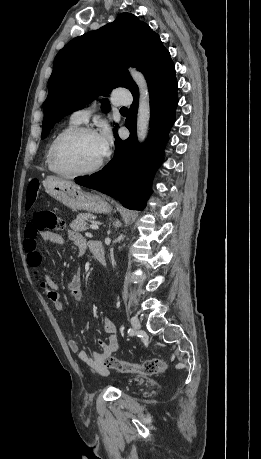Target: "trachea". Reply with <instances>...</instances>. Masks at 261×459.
<instances>
[{"mask_svg":"<svg viewBox=\"0 0 261 459\" xmlns=\"http://www.w3.org/2000/svg\"><path fill=\"white\" fill-rule=\"evenodd\" d=\"M120 110H121V111H128V108L122 107Z\"/></svg>","mask_w":261,"mask_h":459,"instance_id":"1","label":"trachea"}]
</instances>
